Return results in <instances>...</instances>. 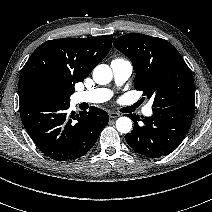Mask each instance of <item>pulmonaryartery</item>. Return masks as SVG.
Here are the masks:
<instances>
[{"label":"pulmonary artery","mask_w":212,"mask_h":212,"mask_svg":"<svg viewBox=\"0 0 212 212\" xmlns=\"http://www.w3.org/2000/svg\"><path fill=\"white\" fill-rule=\"evenodd\" d=\"M114 82L117 86H122L131 76L133 72L132 63L123 58H116L110 64ZM113 96L112 90L108 88H97L90 91H82L75 93L73 100L75 103H103ZM145 116L153 114L151 104L146 105L142 109Z\"/></svg>","instance_id":"e3ab8cb5"}]
</instances>
